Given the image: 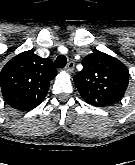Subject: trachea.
Segmentation results:
<instances>
[{"mask_svg": "<svg viewBox=\"0 0 135 165\" xmlns=\"http://www.w3.org/2000/svg\"><path fill=\"white\" fill-rule=\"evenodd\" d=\"M67 63V58L64 55H59L55 60V66L57 68H64Z\"/></svg>", "mask_w": 135, "mask_h": 165, "instance_id": "obj_1", "label": "trachea"}]
</instances>
